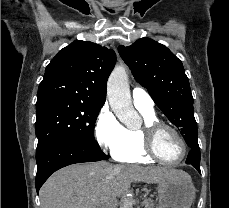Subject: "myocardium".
I'll return each mask as SVG.
<instances>
[{
  "instance_id": "obj_1",
  "label": "myocardium",
  "mask_w": 229,
  "mask_h": 208,
  "mask_svg": "<svg viewBox=\"0 0 229 208\" xmlns=\"http://www.w3.org/2000/svg\"><path fill=\"white\" fill-rule=\"evenodd\" d=\"M163 129H169V135H172L171 137L174 139V143H178V147H185V153L180 159L161 160V157H159V152H154V139H158V135ZM142 132L146 139V143H143L142 147L144 148V153H148V158H155L162 163L175 165L182 163L190 153L191 146L188 140L183 133L173 125L158 120L145 122Z\"/></svg>"
}]
</instances>
